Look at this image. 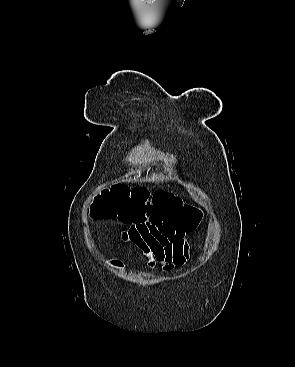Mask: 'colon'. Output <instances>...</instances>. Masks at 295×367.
Returning a JSON list of instances; mask_svg holds the SVG:
<instances>
[{"label": "colon", "mask_w": 295, "mask_h": 367, "mask_svg": "<svg viewBox=\"0 0 295 367\" xmlns=\"http://www.w3.org/2000/svg\"><path fill=\"white\" fill-rule=\"evenodd\" d=\"M92 215L96 219H118L124 223L167 221L185 231L194 230L201 212L167 192L150 196L147 189L117 184L97 199Z\"/></svg>", "instance_id": "colon-1"}]
</instances>
